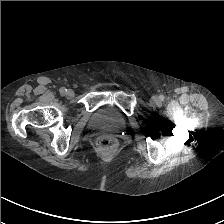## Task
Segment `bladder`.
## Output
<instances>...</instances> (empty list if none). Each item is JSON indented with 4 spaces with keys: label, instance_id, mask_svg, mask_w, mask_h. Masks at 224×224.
<instances>
[{
    "label": "bladder",
    "instance_id": "obj_1",
    "mask_svg": "<svg viewBox=\"0 0 224 224\" xmlns=\"http://www.w3.org/2000/svg\"><path fill=\"white\" fill-rule=\"evenodd\" d=\"M89 126L98 131L120 132L126 127V119L115 106L103 104L91 114Z\"/></svg>",
    "mask_w": 224,
    "mask_h": 224
}]
</instances>
